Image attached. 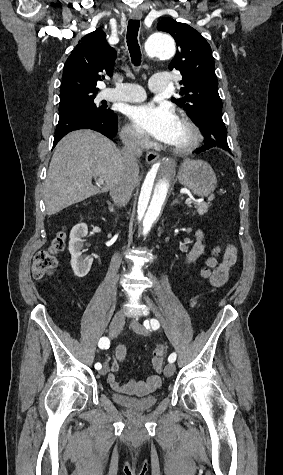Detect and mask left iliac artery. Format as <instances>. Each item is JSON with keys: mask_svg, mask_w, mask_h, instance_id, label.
Wrapping results in <instances>:
<instances>
[{"mask_svg": "<svg viewBox=\"0 0 283 475\" xmlns=\"http://www.w3.org/2000/svg\"><path fill=\"white\" fill-rule=\"evenodd\" d=\"M144 326L148 329L150 328V326L152 327V329L156 330L160 327V324L159 322L156 320V319H151L150 320V323L148 320H145L144 321ZM176 360V353H172L170 354V356L168 357V361L169 363H173L174 361Z\"/></svg>", "mask_w": 283, "mask_h": 475, "instance_id": "44dca946", "label": "left iliac artery"}]
</instances>
